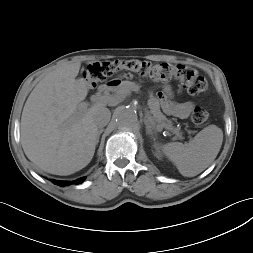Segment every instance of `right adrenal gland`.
Listing matches in <instances>:
<instances>
[{"mask_svg":"<svg viewBox=\"0 0 253 253\" xmlns=\"http://www.w3.org/2000/svg\"><path fill=\"white\" fill-rule=\"evenodd\" d=\"M104 131V129H99L98 131V137H97V143L99 142V138H100V135L102 134V132Z\"/></svg>","mask_w":253,"mask_h":253,"instance_id":"obj_1","label":"right adrenal gland"}]
</instances>
